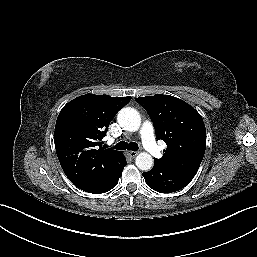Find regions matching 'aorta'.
<instances>
[{
	"instance_id": "obj_1",
	"label": "aorta",
	"mask_w": 257,
	"mask_h": 257,
	"mask_svg": "<svg viewBox=\"0 0 257 257\" xmlns=\"http://www.w3.org/2000/svg\"><path fill=\"white\" fill-rule=\"evenodd\" d=\"M117 121L120 126L127 131L135 132L141 125L139 112L131 107L123 108L117 115ZM136 166L142 171H149L153 166V158L146 152H141L135 159Z\"/></svg>"
}]
</instances>
